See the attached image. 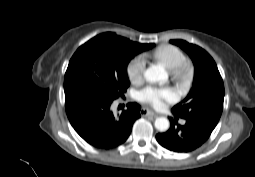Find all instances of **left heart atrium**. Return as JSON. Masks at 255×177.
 <instances>
[{"label":"left heart atrium","instance_id":"obj_1","mask_svg":"<svg viewBox=\"0 0 255 177\" xmlns=\"http://www.w3.org/2000/svg\"><path fill=\"white\" fill-rule=\"evenodd\" d=\"M139 99L142 102L160 108L165 102L173 101L175 95L170 89L148 86L139 92Z\"/></svg>","mask_w":255,"mask_h":177}]
</instances>
